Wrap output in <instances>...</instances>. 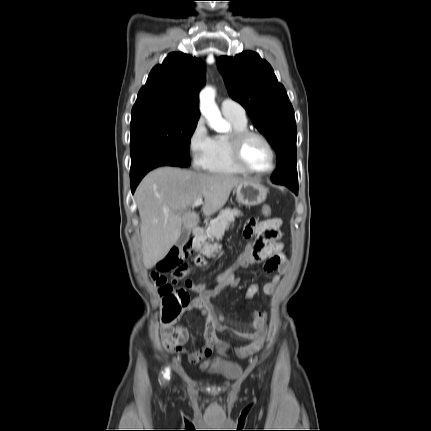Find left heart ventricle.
<instances>
[{"label":"left heart ventricle","instance_id":"b2bd125f","mask_svg":"<svg viewBox=\"0 0 431 431\" xmlns=\"http://www.w3.org/2000/svg\"><path fill=\"white\" fill-rule=\"evenodd\" d=\"M243 158L246 164L255 170H267L270 168L271 153L262 140L252 137L243 147Z\"/></svg>","mask_w":431,"mask_h":431}]
</instances>
